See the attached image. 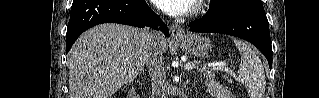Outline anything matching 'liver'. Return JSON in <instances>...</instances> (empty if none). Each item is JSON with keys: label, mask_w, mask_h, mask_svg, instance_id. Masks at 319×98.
<instances>
[{"label": "liver", "mask_w": 319, "mask_h": 98, "mask_svg": "<svg viewBox=\"0 0 319 98\" xmlns=\"http://www.w3.org/2000/svg\"><path fill=\"white\" fill-rule=\"evenodd\" d=\"M147 50L146 29L107 23L87 30L69 52L70 98H110L143 70Z\"/></svg>", "instance_id": "1"}]
</instances>
